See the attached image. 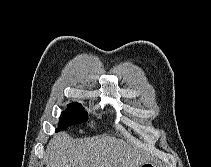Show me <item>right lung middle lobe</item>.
Segmentation results:
<instances>
[{"label": "right lung middle lobe", "mask_w": 211, "mask_h": 167, "mask_svg": "<svg viewBox=\"0 0 211 167\" xmlns=\"http://www.w3.org/2000/svg\"><path fill=\"white\" fill-rule=\"evenodd\" d=\"M88 120L87 113L79 103H71L66 111L60 116L59 129H65L70 125L78 124Z\"/></svg>", "instance_id": "obj_1"}]
</instances>
